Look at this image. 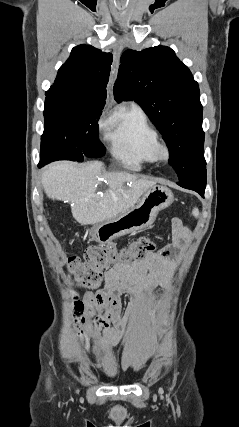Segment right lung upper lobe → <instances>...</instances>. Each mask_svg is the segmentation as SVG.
<instances>
[{"label":"right lung upper lobe","instance_id":"obj_1","mask_svg":"<svg viewBox=\"0 0 239 427\" xmlns=\"http://www.w3.org/2000/svg\"><path fill=\"white\" fill-rule=\"evenodd\" d=\"M112 60L111 53L93 46L74 47L69 59L60 67L53 86L46 92L45 103L103 108Z\"/></svg>","mask_w":239,"mask_h":427}]
</instances>
